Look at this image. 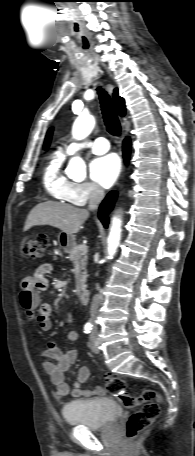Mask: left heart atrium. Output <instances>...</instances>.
I'll list each match as a JSON object with an SVG mask.
<instances>
[{"label":"left heart atrium","instance_id":"left-heart-atrium-1","mask_svg":"<svg viewBox=\"0 0 195 456\" xmlns=\"http://www.w3.org/2000/svg\"><path fill=\"white\" fill-rule=\"evenodd\" d=\"M91 178L103 188L111 187L117 180L121 163L117 155L108 154L93 159L89 166Z\"/></svg>","mask_w":195,"mask_h":456}]
</instances>
